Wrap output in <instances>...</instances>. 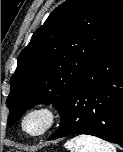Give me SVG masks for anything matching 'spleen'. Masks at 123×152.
Instances as JSON below:
<instances>
[{"label": "spleen", "instance_id": "obj_1", "mask_svg": "<svg viewBox=\"0 0 123 152\" xmlns=\"http://www.w3.org/2000/svg\"><path fill=\"white\" fill-rule=\"evenodd\" d=\"M70 152H116L113 145L95 136L81 134L65 143Z\"/></svg>", "mask_w": 123, "mask_h": 152}]
</instances>
